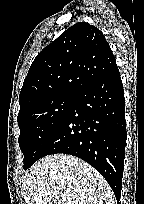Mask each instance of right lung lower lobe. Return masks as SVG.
<instances>
[{"label": "right lung lower lobe", "mask_w": 144, "mask_h": 204, "mask_svg": "<svg viewBox=\"0 0 144 204\" xmlns=\"http://www.w3.org/2000/svg\"><path fill=\"white\" fill-rule=\"evenodd\" d=\"M126 139L124 89L116 67L76 94L40 158L66 153L83 159L102 174L118 201Z\"/></svg>", "instance_id": "1"}]
</instances>
